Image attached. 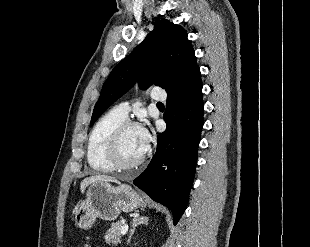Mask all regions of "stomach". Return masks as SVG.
<instances>
[{
	"instance_id": "1",
	"label": "stomach",
	"mask_w": 310,
	"mask_h": 247,
	"mask_svg": "<svg viewBox=\"0 0 310 247\" xmlns=\"http://www.w3.org/2000/svg\"><path fill=\"white\" fill-rule=\"evenodd\" d=\"M145 204L142 196L131 186L122 184L114 187L99 181L89 185L85 199L74 206L72 216L77 228L89 229L97 218L113 221L122 211L131 212Z\"/></svg>"
}]
</instances>
